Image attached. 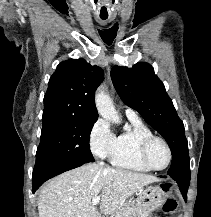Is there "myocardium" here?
<instances>
[{
  "mask_svg": "<svg viewBox=\"0 0 211 217\" xmlns=\"http://www.w3.org/2000/svg\"><path fill=\"white\" fill-rule=\"evenodd\" d=\"M155 141H159V142L163 143L164 146L166 147L167 151H168V156H169L168 162L162 168H157V167L153 166L149 160V149ZM139 152H140V158H141L143 164L147 168H149L150 170H154V171H162V170H165L166 168H168L169 165L171 164L172 158H173L172 149H171L169 143L167 142V140L164 139L163 137L157 136V135H151V136L144 138L140 144Z\"/></svg>",
  "mask_w": 211,
  "mask_h": 217,
  "instance_id": "f54148a6",
  "label": "myocardium"
}]
</instances>
